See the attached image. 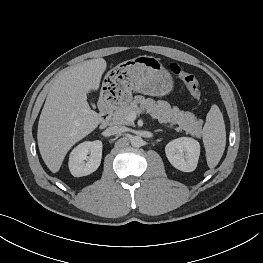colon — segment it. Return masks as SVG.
<instances>
[{
    "label": "colon",
    "mask_w": 263,
    "mask_h": 263,
    "mask_svg": "<svg viewBox=\"0 0 263 263\" xmlns=\"http://www.w3.org/2000/svg\"><path fill=\"white\" fill-rule=\"evenodd\" d=\"M169 69L177 78H179L187 86L189 91L196 98L199 99L201 97L200 84L193 74L185 71L176 63H171L169 65Z\"/></svg>",
    "instance_id": "colon-1"
}]
</instances>
